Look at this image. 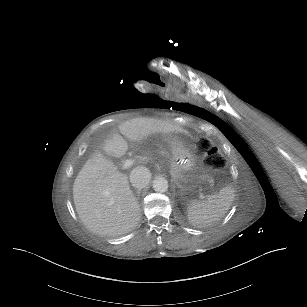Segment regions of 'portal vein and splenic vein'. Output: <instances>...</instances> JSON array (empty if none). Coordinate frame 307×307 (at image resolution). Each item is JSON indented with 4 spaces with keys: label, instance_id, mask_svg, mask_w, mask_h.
Returning <instances> with one entry per match:
<instances>
[{
    "label": "portal vein and splenic vein",
    "instance_id": "obj_1",
    "mask_svg": "<svg viewBox=\"0 0 307 307\" xmlns=\"http://www.w3.org/2000/svg\"><path fill=\"white\" fill-rule=\"evenodd\" d=\"M133 164H134L133 159L128 158V159H126L125 164H123V165L121 166V169H122L123 171H126V170L128 169V167L133 166ZM196 189H197L198 192L200 193V195H201L200 197L204 200L206 196H205V193L202 191V188L198 185V186L196 187Z\"/></svg>",
    "mask_w": 307,
    "mask_h": 307
}]
</instances>
